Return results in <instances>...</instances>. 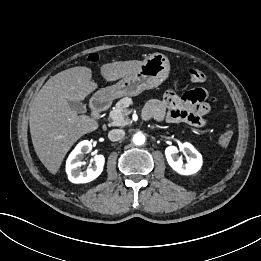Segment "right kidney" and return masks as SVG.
Listing matches in <instances>:
<instances>
[{"label": "right kidney", "instance_id": "obj_1", "mask_svg": "<svg viewBox=\"0 0 261 261\" xmlns=\"http://www.w3.org/2000/svg\"><path fill=\"white\" fill-rule=\"evenodd\" d=\"M92 148V144L88 140L81 141L75 149L70 153L66 161V173L69 181L72 183H87L96 179L102 172L105 158L103 155L94 157L95 165L81 171L82 158L84 153H88Z\"/></svg>", "mask_w": 261, "mask_h": 261}]
</instances>
